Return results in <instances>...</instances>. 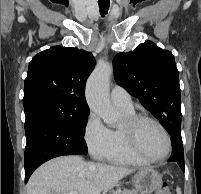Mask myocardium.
<instances>
[{"mask_svg":"<svg viewBox=\"0 0 201 194\" xmlns=\"http://www.w3.org/2000/svg\"><path fill=\"white\" fill-rule=\"evenodd\" d=\"M143 122H150L157 126L162 133L165 135L166 140H167V150L166 152L157 158H152L147 155H145L139 148L138 142H137V136H138V130L140 125ZM122 130L124 132L127 144L129 149L140 159H142L145 162H150V163H156V162H161L165 160L169 154L172 151L173 148V143H172V137L168 130L165 128V126L159 122L157 119L150 117L148 115H134L132 117H129L125 120Z\"/></svg>","mask_w":201,"mask_h":194,"instance_id":"obj_1","label":"myocardium"}]
</instances>
